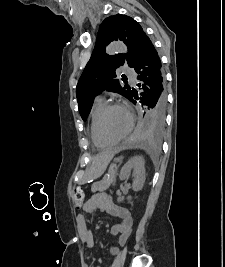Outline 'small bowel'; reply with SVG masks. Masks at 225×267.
I'll return each instance as SVG.
<instances>
[{
  "mask_svg": "<svg viewBox=\"0 0 225 267\" xmlns=\"http://www.w3.org/2000/svg\"><path fill=\"white\" fill-rule=\"evenodd\" d=\"M97 209L117 218V221L111 226L110 234L118 237L120 245L124 244L130 236L133 226V218L130 212L124 207L115 205L107 193L93 195L84 206V211L89 214ZM79 221L83 226V243L85 247L91 248L93 246V237L90 229L87 227L84 216L80 215ZM109 251L111 255H116L119 249L116 246H110Z\"/></svg>",
  "mask_w": 225,
  "mask_h": 267,
  "instance_id": "1",
  "label": "small bowel"
}]
</instances>
